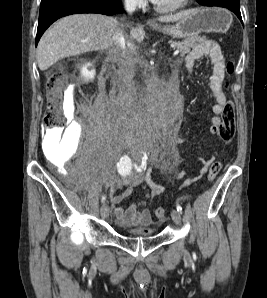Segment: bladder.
Returning <instances> with one entry per match:
<instances>
[{"instance_id":"1","label":"bladder","mask_w":267,"mask_h":298,"mask_svg":"<svg viewBox=\"0 0 267 298\" xmlns=\"http://www.w3.org/2000/svg\"><path fill=\"white\" fill-rule=\"evenodd\" d=\"M125 234L127 236H139V237H149V236H152L154 234L153 231H150L149 233L147 234H143V235H137L135 234L133 231H125Z\"/></svg>"}]
</instances>
